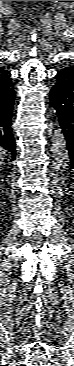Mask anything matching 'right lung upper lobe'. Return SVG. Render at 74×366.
<instances>
[{"instance_id": "obj_1", "label": "right lung upper lobe", "mask_w": 74, "mask_h": 366, "mask_svg": "<svg viewBox=\"0 0 74 366\" xmlns=\"http://www.w3.org/2000/svg\"><path fill=\"white\" fill-rule=\"evenodd\" d=\"M8 73H10L8 70L0 66V80L4 79Z\"/></svg>"}]
</instances>
